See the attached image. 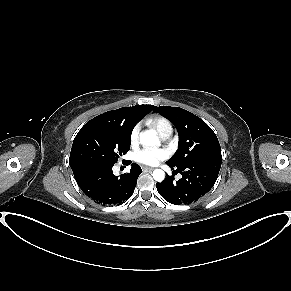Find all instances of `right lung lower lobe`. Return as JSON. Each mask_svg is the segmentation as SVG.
Masks as SVG:
<instances>
[{
	"label": "right lung lower lobe",
	"mask_w": 291,
	"mask_h": 291,
	"mask_svg": "<svg viewBox=\"0 0 291 291\" xmlns=\"http://www.w3.org/2000/svg\"><path fill=\"white\" fill-rule=\"evenodd\" d=\"M112 167L108 164L90 165L73 170V174L89 198L106 206L119 205L132 196L142 170L139 165L132 164L130 172L119 177L113 174Z\"/></svg>",
	"instance_id": "obj_1"
}]
</instances>
